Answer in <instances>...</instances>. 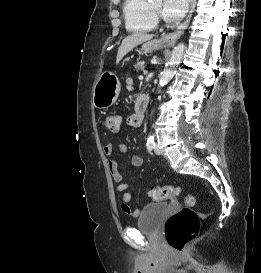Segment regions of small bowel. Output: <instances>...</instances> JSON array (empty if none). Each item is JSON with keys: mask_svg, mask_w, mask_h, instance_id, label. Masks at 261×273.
Returning <instances> with one entry per match:
<instances>
[{"mask_svg": "<svg viewBox=\"0 0 261 273\" xmlns=\"http://www.w3.org/2000/svg\"><path fill=\"white\" fill-rule=\"evenodd\" d=\"M127 122H128V125L133 126V115H131L128 118ZM114 148H115V146L113 143H108L107 145L104 146L103 151L106 156L110 157L114 153ZM117 149L120 153H125L128 148L124 143H119L117 145ZM143 162H144L143 158L139 155H134L130 159V163L133 167H140V166H142ZM108 167H109V171H110L113 181L117 183V187H116L117 191L122 194V198H121L122 210L125 213H127L133 217L138 216L140 213V210L133 209L129 205L132 195L128 191L129 184L122 182L123 181V174L121 173V171L119 169L118 161L116 159L109 160Z\"/></svg>", "mask_w": 261, "mask_h": 273, "instance_id": "obj_1", "label": "small bowel"}]
</instances>
